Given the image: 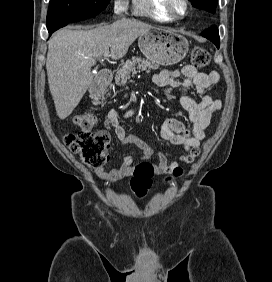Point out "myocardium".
I'll use <instances>...</instances> for the list:
<instances>
[{"mask_svg": "<svg viewBox=\"0 0 272 282\" xmlns=\"http://www.w3.org/2000/svg\"><path fill=\"white\" fill-rule=\"evenodd\" d=\"M178 4L182 6L181 10L177 8ZM162 7L174 19L185 17L190 10L188 0H162Z\"/></svg>", "mask_w": 272, "mask_h": 282, "instance_id": "f54148a6", "label": "myocardium"}]
</instances>
